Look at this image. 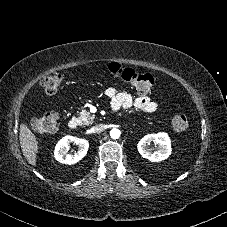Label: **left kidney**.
Here are the masks:
<instances>
[{"instance_id":"obj_1","label":"left kidney","mask_w":227,"mask_h":227,"mask_svg":"<svg viewBox=\"0 0 227 227\" xmlns=\"http://www.w3.org/2000/svg\"><path fill=\"white\" fill-rule=\"evenodd\" d=\"M158 144V150L152 152L149 148L150 143ZM137 149L142 157L151 162H160L167 159L172 152L171 141L166 133L148 134L144 136L137 144Z\"/></svg>"}]
</instances>
